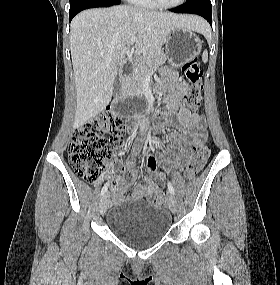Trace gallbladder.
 <instances>
[{
    "instance_id": "gallbladder-1",
    "label": "gallbladder",
    "mask_w": 280,
    "mask_h": 285,
    "mask_svg": "<svg viewBox=\"0 0 280 285\" xmlns=\"http://www.w3.org/2000/svg\"><path fill=\"white\" fill-rule=\"evenodd\" d=\"M113 91L115 94H119L121 91V80L119 75H117L114 80Z\"/></svg>"
}]
</instances>
